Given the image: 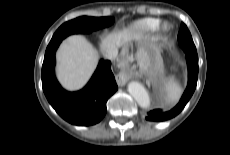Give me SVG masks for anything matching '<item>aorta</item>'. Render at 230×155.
<instances>
[{"mask_svg": "<svg viewBox=\"0 0 230 155\" xmlns=\"http://www.w3.org/2000/svg\"><path fill=\"white\" fill-rule=\"evenodd\" d=\"M128 92L136 100L141 108L147 109L150 107V98L145 87L136 81L128 84Z\"/></svg>", "mask_w": 230, "mask_h": 155, "instance_id": "aorta-1", "label": "aorta"}]
</instances>
